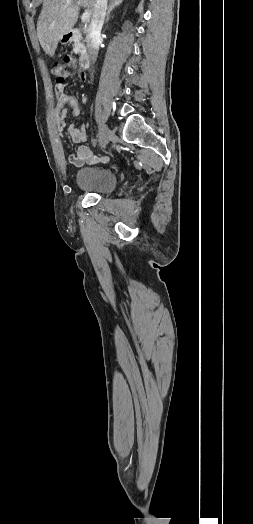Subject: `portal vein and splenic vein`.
I'll list each match as a JSON object with an SVG mask.
<instances>
[{"label": "portal vein and splenic vein", "instance_id": "1", "mask_svg": "<svg viewBox=\"0 0 253 524\" xmlns=\"http://www.w3.org/2000/svg\"><path fill=\"white\" fill-rule=\"evenodd\" d=\"M77 5H79V4L77 3ZM90 16H91L90 12H89V11H85V12L83 13V15H82V18H81L82 22H87V21H89Z\"/></svg>", "mask_w": 253, "mask_h": 524}]
</instances>
